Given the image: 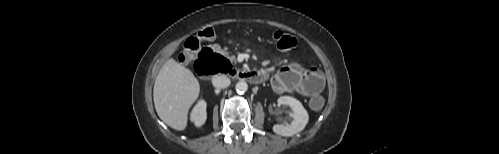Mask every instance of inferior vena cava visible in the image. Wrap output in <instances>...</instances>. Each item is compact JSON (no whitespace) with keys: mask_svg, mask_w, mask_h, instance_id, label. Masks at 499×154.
<instances>
[{"mask_svg":"<svg viewBox=\"0 0 499 154\" xmlns=\"http://www.w3.org/2000/svg\"><path fill=\"white\" fill-rule=\"evenodd\" d=\"M230 79L227 76H215L212 79V84L217 88H225L230 85Z\"/></svg>","mask_w":499,"mask_h":154,"instance_id":"602c4592","label":"inferior vena cava"}]
</instances>
